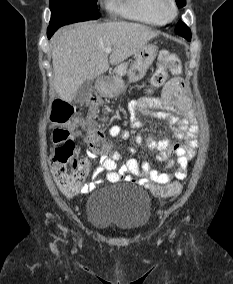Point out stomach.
<instances>
[{
    "instance_id": "1",
    "label": "stomach",
    "mask_w": 233,
    "mask_h": 284,
    "mask_svg": "<svg viewBox=\"0 0 233 284\" xmlns=\"http://www.w3.org/2000/svg\"><path fill=\"white\" fill-rule=\"evenodd\" d=\"M158 52V47L147 44L135 54L134 62L130 65L127 76L130 82H137L144 78L147 70L152 65ZM99 92L107 97H115L125 90V82L117 73L107 77L98 85Z\"/></svg>"
}]
</instances>
